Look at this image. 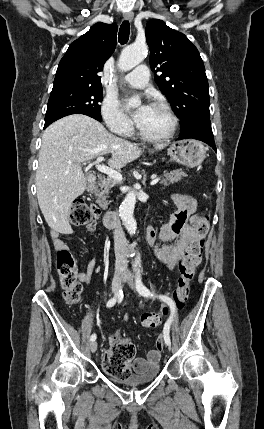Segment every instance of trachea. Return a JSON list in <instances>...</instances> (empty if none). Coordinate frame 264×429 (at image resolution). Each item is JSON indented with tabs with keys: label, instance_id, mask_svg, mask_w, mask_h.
<instances>
[{
	"label": "trachea",
	"instance_id": "obj_1",
	"mask_svg": "<svg viewBox=\"0 0 264 429\" xmlns=\"http://www.w3.org/2000/svg\"><path fill=\"white\" fill-rule=\"evenodd\" d=\"M129 34H130L129 21H123V23L120 26L119 33H118V39H119V43L121 45H124L127 43L128 39H129Z\"/></svg>",
	"mask_w": 264,
	"mask_h": 429
}]
</instances>
